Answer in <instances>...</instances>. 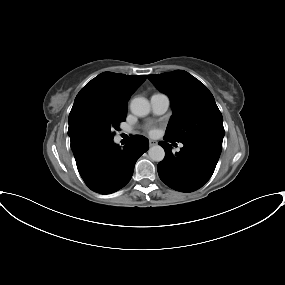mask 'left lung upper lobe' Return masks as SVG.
Wrapping results in <instances>:
<instances>
[{
    "mask_svg": "<svg viewBox=\"0 0 285 285\" xmlns=\"http://www.w3.org/2000/svg\"><path fill=\"white\" fill-rule=\"evenodd\" d=\"M149 80L171 100L173 115L166 129L169 140H213L222 144L223 118L207 87L186 71L148 75Z\"/></svg>",
    "mask_w": 285,
    "mask_h": 285,
    "instance_id": "left-lung-upper-lobe-1",
    "label": "left lung upper lobe"
}]
</instances>
